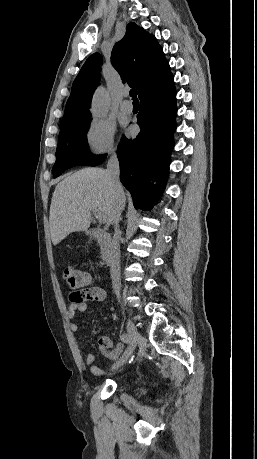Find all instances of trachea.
Wrapping results in <instances>:
<instances>
[{"mask_svg": "<svg viewBox=\"0 0 257 459\" xmlns=\"http://www.w3.org/2000/svg\"><path fill=\"white\" fill-rule=\"evenodd\" d=\"M130 96L132 97V99H133L134 102H137V101H138L136 89H131V90H130Z\"/></svg>", "mask_w": 257, "mask_h": 459, "instance_id": "3493384b", "label": "trachea"}]
</instances>
